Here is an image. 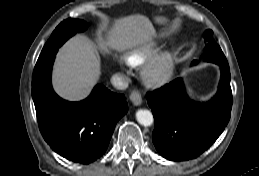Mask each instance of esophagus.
Instances as JSON below:
<instances>
[{"label": "esophagus", "mask_w": 259, "mask_h": 176, "mask_svg": "<svg viewBox=\"0 0 259 176\" xmlns=\"http://www.w3.org/2000/svg\"><path fill=\"white\" fill-rule=\"evenodd\" d=\"M130 100L135 106H139L142 103V97L139 91H133L130 95Z\"/></svg>", "instance_id": "esophagus-1"}]
</instances>
